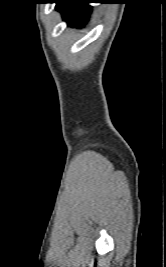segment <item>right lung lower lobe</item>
I'll return each instance as SVG.
<instances>
[{
    "instance_id": "obj_1",
    "label": "right lung lower lobe",
    "mask_w": 166,
    "mask_h": 267,
    "mask_svg": "<svg viewBox=\"0 0 166 267\" xmlns=\"http://www.w3.org/2000/svg\"><path fill=\"white\" fill-rule=\"evenodd\" d=\"M88 0H67L56 4V9L61 11L64 20L71 27H82L88 20L91 7Z\"/></svg>"
}]
</instances>
